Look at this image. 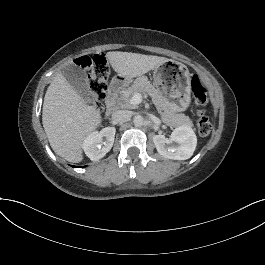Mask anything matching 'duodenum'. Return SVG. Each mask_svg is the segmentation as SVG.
Listing matches in <instances>:
<instances>
[{"label":"duodenum","instance_id":"1","mask_svg":"<svg viewBox=\"0 0 265 265\" xmlns=\"http://www.w3.org/2000/svg\"><path fill=\"white\" fill-rule=\"evenodd\" d=\"M126 80L122 77L114 79L108 88V94L106 98V111L107 114H111L116 109V102L121 92L122 88L124 87Z\"/></svg>","mask_w":265,"mask_h":265}]
</instances>
